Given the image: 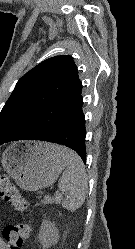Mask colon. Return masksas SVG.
Segmentation results:
<instances>
[{"mask_svg": "<svg viewBox=\"0 0 135 249\" xmlns=\"http://www.w3.org/2000/svg\"><path fill=\"white\" fill-rule=\"evenodd\" d=\"M0 198L18 212H24L28 208L27 201L5 175H0ZM32 231V225L26 223L7 225L2 230V238L9 249H23V243L29 238Z\"/></svg>", "mask_w": 135, "mask_h": 249, "instance_id": "obj_1", "label": "colon"}]
</instances>
